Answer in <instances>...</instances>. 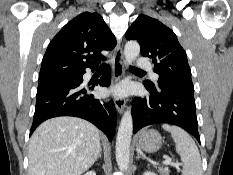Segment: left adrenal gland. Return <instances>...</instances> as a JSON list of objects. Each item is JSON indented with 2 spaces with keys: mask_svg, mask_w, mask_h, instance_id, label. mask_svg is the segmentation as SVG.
<instances>
[{
  "mask_svg": "<svg viewBox=\"0 0 233 175\" xmlns=\"http://www.w3.org/2000/svg\"><path fill=\"white\" fill-rule=\"evenodd\" d=\"M139 158H142V157L139 154H137L136 160L139 159Z\"/></svg>",
  "mask_w": 233,
  "mask_h": 175,
  "instance_id": "1",
  "label": "left adrenal gland"
}]
</instances>
